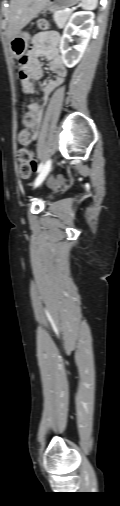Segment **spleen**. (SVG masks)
<instances>
[{
	"mask_svg": "<svg viewBox=\"0 0 120 506\" xmlns=\"http://www.w3.org/2000/svg\"><path fill=\"white\" fill-rule=\"evenodd\" d=\"M98 0H81V6L86 10H94L97 7Z\"/></svg>",
	"mask_w": 120,
	"mask_h": 506,
	"instance_id": "3e777b00",
	"label": "spleen"
}]
</instances>
